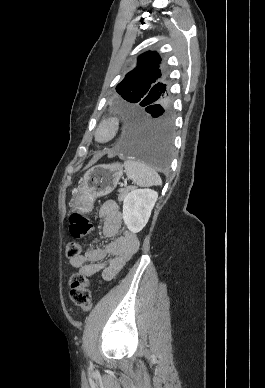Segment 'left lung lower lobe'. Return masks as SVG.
<instances>
[{
  "mask_svg": "<svg viewBox=\"0 0 265 388\" xmlns=\"http://www.w3.org/2000/svg\"><path fill=\"white\" fill-rule=\"evenodd\" d=\"M122 131L115 150L124 157L140 160L156 170L170 164L173 114L170 104L144 109H122Z\"/></svg>",
  "mask_w": 265,
  "mask_h": 388,
  "instance_id": "1",
  "label": "left lung lower lobe"
}]
</instances>
